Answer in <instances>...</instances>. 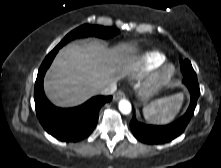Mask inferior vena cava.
I'll list each match as a JSON object with an SVG mask.
<instances>
[{"label": "inferior vena cava", "mask_w": 221, "mask_h": 168, "mask_svg": "<svg viewBox=\"0 0 221 168\" xmlns=\"http://www.w3.org/2000/svg\"><path fill=\"white\" fill-rule=\"evenodd\" d=\"M117 90V84L115 82L109 84L100 91L102 95H112Z\"/></svg>", "instance_id": "602c4592"}]
</instances>
